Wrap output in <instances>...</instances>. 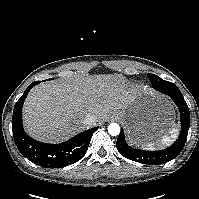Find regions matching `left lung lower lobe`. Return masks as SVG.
Segmentation results:
<instances>
[{
  "label": "left lung lower lobe",
  "instance_id": "left-lung-lower-lobe-1",
  "mask_svg": "<svg viewBox=\"0 0 199 199\" xmlns=\"http://www.w3.org/2000/svg\"><path fill=\"white\" fill-rule=\"evenodd\" d=\"M156 90L170 96L180 111L181 133L176 142L172 146L161 151H143L134 149L127 145L124 137V131L121 128V132L116 143L119 153L125 158L150 165L164 164L174 159L184 147L190 126L189 109L177 86L172 84L166 87H159Z\"/></svg>",
  "mask_w": 199,
  "mask_h": 199
}]
</instances>
